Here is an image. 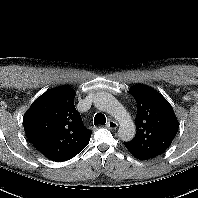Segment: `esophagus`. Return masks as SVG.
I'll list each match as a JSON object with an SVG mask.
<instances>
[{"label":"esophagus","instance_id":"esophagus-1","mask_svg":"<svg viewBox=\"0 0 198 198\" xmlns=\"http://www.w3.org/2000/svg\"><path fill=\"white\" fill-rule=\"evenodd\" d=\"M106 127L111 129V130H115L118 127V123L114 120H109L106 124Z\"/></svg>","mask_w":198,"mask_h":198}]
</instances>
